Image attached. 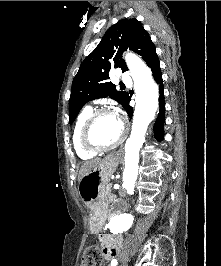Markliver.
<instances>
[{"label":"liver","instance_id":"liver-1","mask_svg":"<svg viewBox=\"0 0 221 266\" xmlns=\"http://www.w3.org/2000/svg\"><path fill=\"white\" fill-rule=\"evenodd\" d=\"M101 158L92 159L90 161H86L80 168L78 180H80L90 169L99 165L101 163Z\"/></svg>","mask_w":221,"mask_h":266}]
</instances>
